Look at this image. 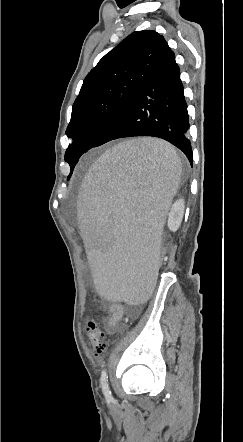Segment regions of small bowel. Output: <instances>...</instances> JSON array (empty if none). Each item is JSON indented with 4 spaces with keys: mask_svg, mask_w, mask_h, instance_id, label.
I'll return each instance as SVG.
<instances>
[{
    "mask_svg": "<svg viewBox=\"0 0 243 442\" xmlns=\"http://www.w3.org/2000/svg\"><path fill=\"white\" fill-rule=\"evenodd\" d=\"M110 316L107 321V330L113 334L119 330V322L123 316L124 310L120 305H113L109 309Z\"/></svg>",
    "mask_w": 243,
    "mask_h": 442,
    "instance_id": "small-bowel-1",
    "label": "small bowel"
}]
</instances>
